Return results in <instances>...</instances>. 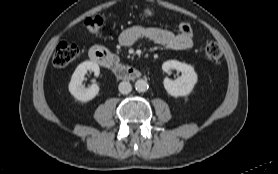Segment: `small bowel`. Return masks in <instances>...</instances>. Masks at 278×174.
Segmentation results:
<instances>
[{"label": "small bowel", "instance_id": "1", "mask_svg": "<svg viewBox=\"0 0 278 174\" xmlns=\"http://www.w3.org/2000/svg\"><path fill=\"white\" fill-rule=\"evenodd\" d=\"M141 39L150 40L171 50H188L194 43L192 36L140 24L127 27L119 35V42L124 46H131Z\"/></svg>", "mask_w": 278, "mask_h": 174}]
</instances>
